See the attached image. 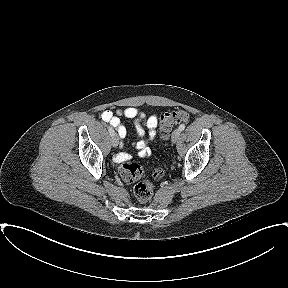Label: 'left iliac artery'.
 <instances>
[{
	"label": "left iliac artery",
	"mask_w": 288,
	"mask_h": 288,
	"mask_svg": "<svg viewBox=\"0 0 288 288\" xmlns=\"http://www.w3.org/2000/svg\"><path fill=\"white\" fill-rule=\"evenodd\" d=\"M185 129V125L184 124H181L180 126H179V130L180 131H183Z\"/></svg>",
	"instance_id": "left-iliac-artery-1"
}]
</instances>
